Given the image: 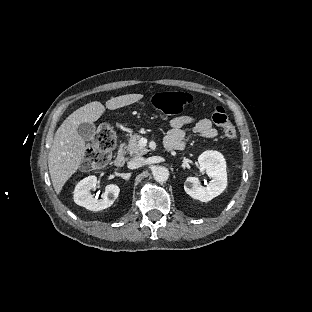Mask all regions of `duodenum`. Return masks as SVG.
Here are the masks:
<instances>
[{"label":"duodenum","mask_w":312,"mask_h":312,"mask_svg":"<svg viewBox=\"0 0 312 312\" xmlns=\"http://www.w3.org/2000/svg\"><path fill=\"white\" fill-rule=\"evenodd\" d=\"M168 150L174 151L176 150L173 146H166ZM126 163V153L123 148L119 149L114 157V165L118 168L124 167Z\"/></svg>","instance_id":"410a0bca"}]
</instances>
